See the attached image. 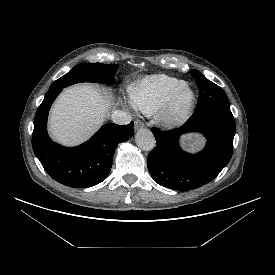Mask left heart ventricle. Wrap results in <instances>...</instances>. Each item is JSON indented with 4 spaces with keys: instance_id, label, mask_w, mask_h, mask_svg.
Listing matches in <instances>:
<instances>
[{
    "instance_id": "1",
    "label": "left heart ventricle",
    "mask_w": 275,
    "mask_h": 275,
    "mask_svg": "<svg viewBox=\"0 0 275 275\" xmlns=\"http://www.w3.org/2000/svg\"><path fill=\"white\" fill-rule=\"evenodd\" d=\"M187 99H188V93H184L180 100L181 104H184L187 101Z\"/></svg>"
}]
</instances>
